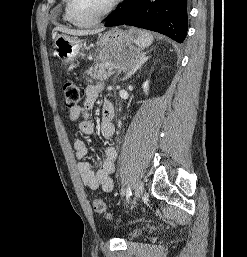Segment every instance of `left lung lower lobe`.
Segmentation results:
<instances>
[{
	"label": "left lung lower lobe",
	"instance_id": "obj_1",
	"mask_svg": "<svg viewBox=\"0 0 247 257\" xmlns=\"http://www.w3.org/2000/svg\"><path fill=\"white\" fill-rule=\"evenodd\" d=\"M131 25L164 34L181 43L186 37L187 0H124L105 26Z\"/></svg>",
	"mask_w": 247,
	"mask_h": 257
}]
</instances>
